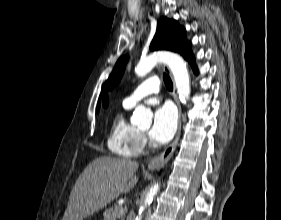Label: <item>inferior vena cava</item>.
<instances>
[{"mask_svg":"<svg viewBox=\"0 0 281 220\" xmlns=\"http://www.w3.org/2000/svg\"><path fill=\"white\" fill-rule=\"evenodd\" d=\"M133 217H134V212L131 213L128 220H133Z\"/></svg>","mask_w":281,"mask_h":220,"instance_id":"obj_1","label":"inferior vena cava"}]
</instances>
